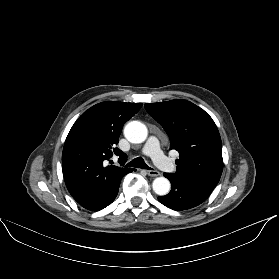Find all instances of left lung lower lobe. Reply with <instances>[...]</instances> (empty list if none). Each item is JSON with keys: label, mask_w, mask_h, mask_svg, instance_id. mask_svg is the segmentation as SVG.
I'll return each instance as SVG.
<instances>
[{"label": "left lung lower lobe", "mask_w": 279, "mask_h": 279, "mask_svg": "<svg viewBox=\"0 0 279 279\" xmlns=\"http://www.w3.org/2000/svg\"><path fill=\"white\" fill-rule=\"evenodd\" d=\"M164 176L171 182V191L158 199L163 205L173 210L191 209L200 205L210 196V193L179 181L168 173H165Z\"/></svg>", "instance_id": "1"}]
</instances>
